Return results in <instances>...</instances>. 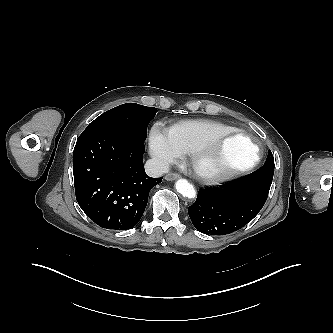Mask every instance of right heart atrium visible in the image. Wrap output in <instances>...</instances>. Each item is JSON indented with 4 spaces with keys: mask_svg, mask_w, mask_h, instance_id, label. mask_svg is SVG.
<instances>
[{
    "mask_svg": "<svg viewBox=\"0 0 333 333\" xmlns=\"http://www.w3.org/2000/svg\"><path fill=\"white\" fill-rule=\"evenodd\" d=\"M149 148L154 161L162 169L177 162L184 155L171 131L160 123L154 124L150 131Z\"/></svg>",
    "mask_w": 333,
    "mask_h": 333,
    "instance_id": "d8ad5b80",
    "label": "right heart atrium"
}]
</instances>
